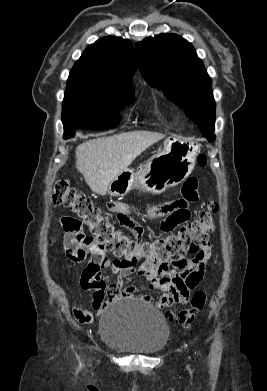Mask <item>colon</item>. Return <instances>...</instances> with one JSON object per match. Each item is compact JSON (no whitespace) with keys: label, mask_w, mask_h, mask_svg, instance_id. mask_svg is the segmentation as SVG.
<instances>
[{"label":"colon","mask_w":267,"mask_h":391,"mask_svg":"<svg viewBox=\"0 0 267 391\" xmlns=\"http://www.w3.org/2000/svg\"><path fill=\"white\" fill-rule=\"evenodd\" d=\"M197 162L200 167H205L206 156L199 155ZM52 201L75 214L88 227L90 235H86L82 241L84 251L112 254L114 259L125 266L142 265L152 271L165 264H179L186 254L199 252L206 246L209 234L214 230V216L218 211L216 204L209 203L197 218L182 225L176 233L142 240L119 231L98 205L66 181L56 183ZM205 301V292L197 291L192 297L190 308L172 312L170 318L189 325L203 309Z\"/></svg>","instance_id":"5ec220e1"}]
</instances>
